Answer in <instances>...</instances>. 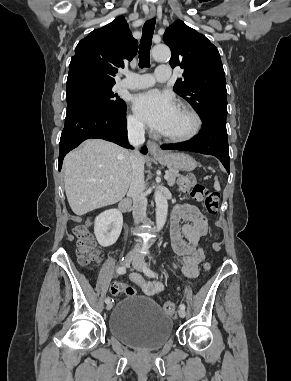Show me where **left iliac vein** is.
Instances as JSON below:
<instances>
[{
	"label": "left iliac vein",
	"mask_w": 291,
	"mask_h": 381,
	"mask_svg": "<svg viewBox=\"0 0 291 381\" xmlns=\"http://www.w3.org/2000/svg\"><path fill=\"white\" fill-rule=\"evenodd\" d=\"M132 265L136 270L141 272H144V269L146 268V263L140 259H135ZM178 314L181 318H184L186 315V312L184 309H179Z\"/></svg>",
	"instance_id": "left-iliac-vein-1"
}]
</instances>
